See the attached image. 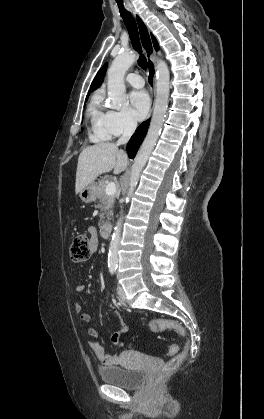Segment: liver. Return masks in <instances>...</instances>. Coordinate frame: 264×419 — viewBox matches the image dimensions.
Here are the masks:
<instances>
[{
    "label": "liver",
    "mask_w": 264,
    "mask_h": 419,
    "mask_svg": "<svg viewBox=\"0 0 264 419\" xmlns=\"http://www.w3.org/2000/svg\"><path fill=\"white\" fill-rule=\"evenodd\" d=\"M128 165L127 154L112 142H102L85 148L79 155L75 192L78 194L100 174L113 170L120 174Z\"/></svg>",
    "instance_id": "obj_1"
}]
</instances>
